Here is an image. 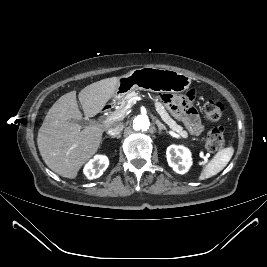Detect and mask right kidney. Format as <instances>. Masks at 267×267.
I'll use <instances>...</instances> for the list:
<instances>
[{
  "label": "right kidney",
  "instance_id": "ca27d5eb",
  "mask_svg": "<svg viewBox=\"0 0 267 267\" xmlns=\"http://www.w3.org/2000/svg\"><path fill=\"white\" fill-rule=\"evenodd\" d=\"M109 160L106 156L96 155L84 167V174L90 180L99 178L107 169Z\"/></svg>",
  "mask_w": 267,
  "mask_h": 267
}]
</instances>
